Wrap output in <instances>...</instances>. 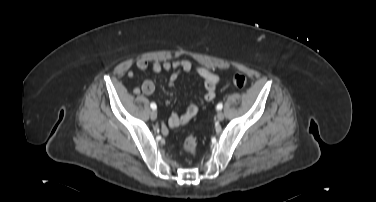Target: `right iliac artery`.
I'll use <instances>...</instances> for the list:
<instances>
[{
	"instance_id": "obj_1",
	"label": "right iliac artery",
	"mask_w": 376,
	"mask_h": 202,
	"mask_svg": "<svg viewBox=\"0 0 376 202\" xmlns=\"http://www.w3.org/2000/svg\"><path fill=\"white\" fill-rule=\"evenodd\" d=\"M150 107H151L153 110H156V108H157L156 104L153 103V102L150 104Z\"/></svg>"
}]
</instances>
